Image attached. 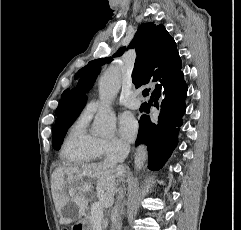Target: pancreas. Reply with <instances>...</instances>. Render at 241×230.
<instances>
[{
	"label": "pancreas",
	"mask_w": 241,
	"mask_h": 230,
	"mask_svg": "<svg viewBox=\"0 0 241 230\" xmlns=\"http://www.w3.org/2000/svg\"><path fill=\"white\" fill-rule=\"evenodd\" d=\"M86 221H87V223L90 224L91 230H101V226L97 227V226L94 225V223L92 221V215H88L86 217Z\"/></svg>",
	"instance_id": "obj_1"
}]
</instances>
